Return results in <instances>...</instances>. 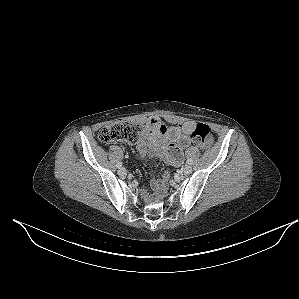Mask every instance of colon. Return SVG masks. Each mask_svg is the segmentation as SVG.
I'll return each instance as SVG.
<instances>
[{
    "mask_svg": "<svg viewBox=\"0 0 299 299\" xmlns=\"http://www.w3.org/2000/svg\"><path fill=\"white\" fill-rule=\"evenodd\" d=\"M143 130V126L137 123L114 121L100 130L98 138L103 143H113L118 141L134 143L138 140ZM191 137L194 144L201 148L208 146L211 142L210 129L203 123L196 124L195 129L191 133ZM165 191L166 185L163 181L158 188V193L159 195H163Z\"/></svg>",
    "mask_w": 299,
    "mask_h": 299,
    "instance_id": "colon-1",
    "label": "colon"
}]
</instances>
